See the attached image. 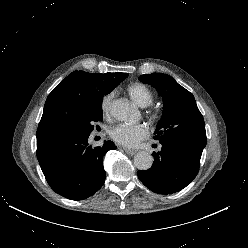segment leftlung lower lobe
<instances>
[{"mask_svg": "<svg viewBox=\"0 0 248 248\" xmlns=\"http://www.w3.org/2000/svg\"><path fill=\"white\" fill-rule=\"evenodd\" d=\"M150 169L137 172L140 181L151 191L172 194L189 185L196 177L200 158L178 144L163 143L162 150L153 153Z\"/></svg>", "mask_w": 248, "mask_h": 248, "instance_id": "obj_1", "label": "left lung lower lobe"}]
</instances>
